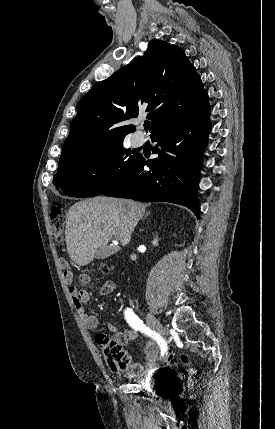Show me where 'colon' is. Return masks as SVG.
Wrapping results in <instances>:
<instances>
[{
    "mask_svg": "<svg viewBox=\"0 0 275 429\" xmlns=\"http://www.w3.org/2000/svg\"><path fill=\"white\" fill-rule=\"evenodd\" d=\"M50 226L53 238L56 241H61L65 228V213L64 207L58 202L53 203L51 206ZM60 265L64 269V271L68 270V263L65 259H60ZM101 271L106 273L108 272V268L102 267ZM96 342L102 349L104 358L111 370L118 371L125 369L129 366L130 356L123 349V346L119 339L110 338L104 334H98L96 336ZM173 359L174 358L172 353L169 352L165 358V364H170ZM181 359L186 364L190 362L189 357L187 355H183Z\"/></svg>",
    "mask_w": 275,
    "mask_h": 429,
    "instance_id": "obj_1",
    "label": "colon"
}]
</instances>
